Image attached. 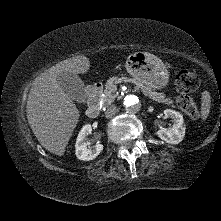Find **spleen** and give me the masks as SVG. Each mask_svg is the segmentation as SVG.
<instances>
[{
    "label": "spleen",
    "instance_id": "1",
    "mask_svg": "<svg viewBox=\"0 0 221 221\" xmlns=\"http://www.w3.org/2000/svg\"><path fill=\"white\" fill-rule=\"evenodd\" d=\"M210 108V96L207 92L203 93V102H202V119L205 120L209 114Z\"/></svg>",
    "mask_w": 221,
    "mask_h": 221
}]
</instances>
